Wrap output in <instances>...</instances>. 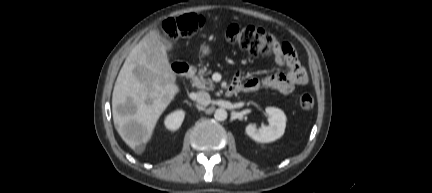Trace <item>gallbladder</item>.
Listing matches in <instances>:
<instances>
[{
    "mask_svg": "<svg viewBox=\"0 0 432 193\" xmlns=\"http://www.w3.org/2000/svg\"><path fill=\"white\" fill-rule=\"evenodd\" d=\"M160 41L163 43V45L165 46L166 50L171 51L173 49V43L167 39L166 37L162 36L160 33H157ZM118 111L120 110V107L117 108Z\"/></svg>",
    "mask_w": 432,
    "mask_h": 193,
    "instance_id": "1",
    "label": "gallbladder"
}]
</instances>
